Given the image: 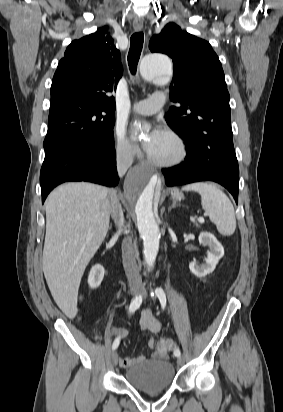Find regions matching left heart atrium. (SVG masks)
Masks as SVG:
<instances>
[{
    "label": "left heart atrium",
    "mask_w": 283,
    "mask_h": 412,
    "mask_svg": "<svg viewBox=\"0 0 283 412\" xmlns=\"http://www.w3.org/2000/svg\"><path fill=\"white\" fill-rule=\"evenodd\" d=\"M163 134H164V131H163L161 128H159V127H155V128L151 131L148 139H147V140L145 141V143H144V148L146 149L147 152L150 151V150L154 147V145L156 144V142L160 139V137H161Z\"/></svg>",
    "instance_id": "obj_1"
}]
</instances>
